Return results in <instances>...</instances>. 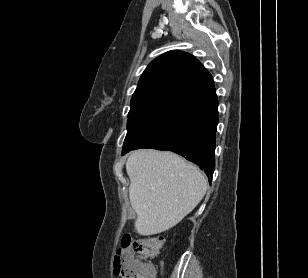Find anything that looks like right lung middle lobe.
Returning a JSON list of instances; mask_svg holds the SVG:
<instances>
[{
    "instance_id": "1",
    "label": "right lung middle lobe",
    "mask_w": 308,
    "mask_h": 278,
    "mask_svg": "<svg viewBox=\"0 0 308 278\" xmlns=\"http://www.w3.org/2000/svg\"><path fill=\"white\" fill-rule=\"evenodd\" d=\"M176 115L175 113H146L128 117L122 155L158 132Z\"/></svg>"
}]
</instances>
